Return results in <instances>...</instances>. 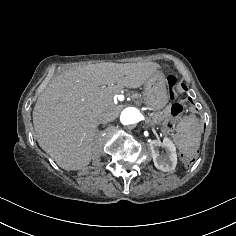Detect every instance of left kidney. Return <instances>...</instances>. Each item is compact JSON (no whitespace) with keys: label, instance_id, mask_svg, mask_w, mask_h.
Masks as SVG:
<instances>
[{"label":"left kidney","instance_id":"left-kidney-1","mask_svg":"<svg viewBox=\"0 0 236 236\" xmlns=\"http://www.w3.org/2000/svg\"><path fill=\"white\" fill-rule=\"evenodd\" d=\"M150 149L152 151V157L154 165L157 169L165 172H169L175 168L177 157L174 145L168 140H152L150 142ZM162 149L165 154H162Z\"/></svg>","mask_w":236,"mask_h":236}]
</instances>
